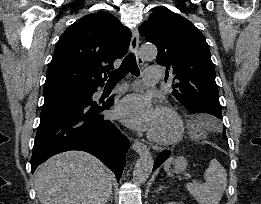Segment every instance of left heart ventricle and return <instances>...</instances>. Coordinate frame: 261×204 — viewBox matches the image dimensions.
I'll return each mask as SVG.
<instances>
[{
	"label": "left heart ventricle",
	"instance_id": "left-heart-ventricle-1",
	"mask_svg": "<svg viewBox=\"0 0 261 204\" xmlns=\"http://www.w3.org/2000/svg\"><path fill=\"white\" fill-rule=\"evenodd\" d=\"M173 128L174 125L171 118L167 114L158 111L154 125L150 131L156 135L164 136L170 134Z\"/></svg>",
	"mask_w": 261,
	"mask_h": 204
}]
</instances>
